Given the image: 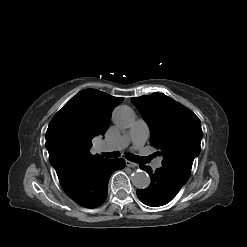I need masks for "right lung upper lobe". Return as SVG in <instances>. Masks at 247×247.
Masks as SVG:
<instances>
[{"mask_svg": "<svg viewBox=\"0 0 247 247\" xmlns=\"http://www.w3.org/2000/svg\"><path fill=\"white\" fill-rule=\"evenodd\" d=\"M123 100L85 89L53 117L46 132V148L59 179L104 160L99 154H90L91 142L93 137L104 135L112 110Z\"/></svg>", "mask_w": 247, "mask_h": 247, "instance_id": "cb5924a9", "label": "right lung upper lobe"}]
</instances>
